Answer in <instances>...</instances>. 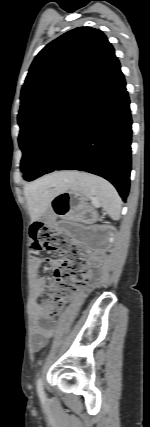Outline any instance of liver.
Instances as JSON below:
<instances>
[{
    "instance_id": "obj_1",
    "label": "liver",
    "mask_w": 150,
    "mask_h": 427,
    "mask_svg": "<svg viewBox=\"0 0 150 427\" xmlns=\"http://www.w3.org/2000/svg\"><path fill=\"white\" fill-rule=\"evenodd\" d=\"M75 172H55L25 185L24 193L32 220H37L50 206L54 195L68 189Z\"/></svg>"
}]
</instances>
